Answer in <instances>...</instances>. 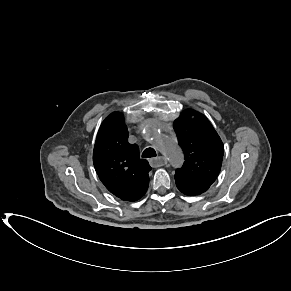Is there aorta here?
Masks as SVG:
<instances>
[{"label":"aorta","instance_id":"obj_1","mask_svg":"<svg viewBox=\"0 0 291 291\" xmlns=\"http://www.w3.org/2000/svg\"><path fill=\"white\" fill-rule=\"evenodd\" d=\"M146 137L155 144L156 148L163 153L174 165H181L183 154L179 146L169 137L160 135L156 128L149 127Z\"/></svg>","mask_w":291,"mask_h":291}]
</instances>
